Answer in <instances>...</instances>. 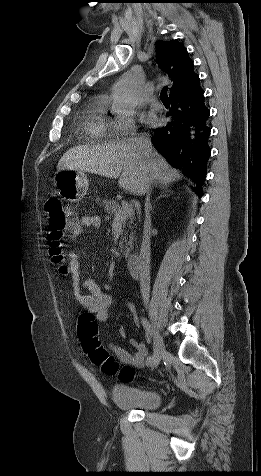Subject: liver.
Returning a JSON list of instances; mask_svg holds the SVG:
<instances>
[{
  "label": "liver",
  "instance_id": "liver-1",
  "mask_svg": "<svg viewBox=\"0 0 261 476\" xmlns=\"http://www.w3.org/2000/svg\"><path fill=\"white\" fill-rule=\"evenodd\" d=\"M136 151L135 145L128 141L77 146L61 157L57 170H79L118 178L119 186L133 195L143 194L146 174L151 176L152 182L161 186H167L182 177L154 148H151L149 157L140 158Z\"/></svg>",
  "mask_w": 261,
  "mask_h": 476
}]
</instances>
